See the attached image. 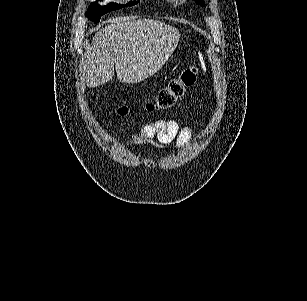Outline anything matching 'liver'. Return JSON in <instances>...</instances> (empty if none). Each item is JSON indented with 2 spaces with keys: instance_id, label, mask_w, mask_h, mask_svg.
Here are the masks:
<instances>
[{
  "instance_id": "6515ba94",
  "label": "liver",
  "mask_w": 307,
  "mask_h": 301,
  "mask_svg": "<svg viewBox=\"0 0 307 301\" xmlns=\"http://www.w3.org/2000/svg\"><path fill=\"white\" fill-rule=\"evenodd\" d=\"M111 22L94 34L92 46L82 60L87 86L105 84L115 70L120 82H141L162 68L179 42L178 28L161 20Z\"/></svg>"
}]
</instances>
